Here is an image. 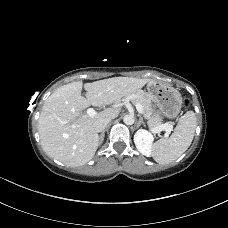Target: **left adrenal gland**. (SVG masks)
Here are the masks:
<instances>
[{
	"label": "left adrenal gland",
	"instance_id": "1",
	"mask_svg": "<svg viewBox=\"0 0 228 228\" xmlns=\"http://www.w3.org/2000/svg\"><path fill=\"white\" fill-rule=\"evenodd\" d=\"M141 124H143L144 126H146L145 122L143 121L142 116H139V121L137 123V126L139 127Z\"/></svg>",
	"mask_w": 228,
	"mask_h": 228
}]
</instances>
